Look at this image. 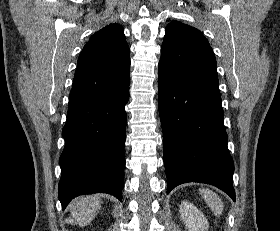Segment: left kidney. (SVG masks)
Returning a JSON list of instances; mask_svg holds the SVG:
<instances>
[{"label":"left kidney","instance_id":"left-kidney-1","mask_svg":"<svg viewBox=\"0 0 280 231\" xmlns=\"http://www.w3.org/2000/svg\"><path fill=\"white\" fill-rule=\"evenodd\" d=\"M179 211L188 231H207L209 227L208 219L194 203L182 201Z\"/></svg>","mask_w":280,"mask_h":231}]
</instances>
